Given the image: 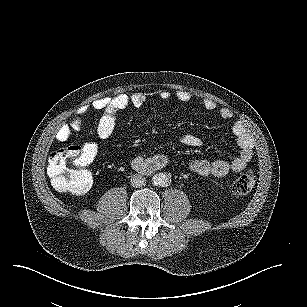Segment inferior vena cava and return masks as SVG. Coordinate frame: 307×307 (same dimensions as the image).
Returning <instances> with one entry per match:
<instances>
[{
	"mask_svg": "<svg viewBox=\"0 0 307 307\" xmlns=\"http://www.w3.org/2000/svg\"><path fill=\"white\" fill-rule=\"evenodd\" d=\"M146 182V178L140 174H133L130 177V185L134 188L142 187Z\"/></svg>",
	"mask_w": 307,
	"mask_h": 307,
	"instance_id": "inferior-vena-cava-1",
	"label": "inferior vena cava"
}]
</instances>
